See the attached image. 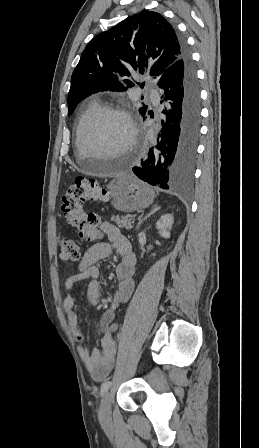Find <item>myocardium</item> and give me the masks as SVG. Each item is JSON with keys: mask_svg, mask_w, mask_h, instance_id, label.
<instances>
[{"mask_svg": "<svg viewBox=\"0 0 259 448\" xmlns=\"http://www.w3.org/2000/svg\"><path fill=\"white\" fill-rule=\"evenodd\" d=\"M109 114H118L122 116L127 121L130 128V139L124 147L119 149V154L131 151L135 146L137 142L138 129L129 108L122 103L103 105L84 123L81 129L80 150L78 151L77 154V163H82L83 150L91 149L89 145V135L91 130L101 118Z\"/></svg>", "mask_w": 259, "mask_h": 448, "instance_id": "f54148a6", "label": "myocardium"}]
</instances>
